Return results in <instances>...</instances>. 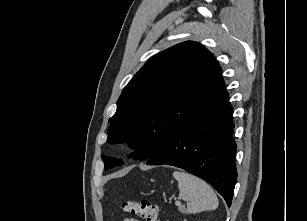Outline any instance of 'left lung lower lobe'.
<instances>
[{
    "mask_svg": "<svg viewBox=\"0 0 307 221\" xmlns=\"http://www.w3.org/2000/svg\"><path fill=\"white\" fill-rule=\"evenodd\" d=\"M225 91L212 105L178 130L147 165L168 164L204 179L231 206L237 180L233 108Z\"/></svg>",
    "mask_w": 307,
    "mask_h": 221,
    "instance_id": "obj_1",
    "label": "left lung lower lobe"
}]
</instances>
